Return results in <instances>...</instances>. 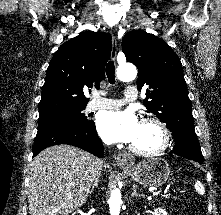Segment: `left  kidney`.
<instances>
[{
    "instance_id": "left-kidney-1",
    "label": "left kidney",
    "mask_w": 221,
    "mask_h": 215,
    "mask_svg": "<svg viewBox=\"0 0 221 215\" xmlns=\"http://www.w3.org/2000/svg\"><path fill=\"white\" fill-rule=\"evenodd\" d=\"M154 215H168V213L162 208H157L155 209Z\"/></svg>"
}]
</instances>
